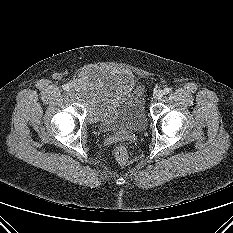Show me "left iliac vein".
Returning <instances> with one entry per match:
<instances>
[{
  "mask_svg": "<svg viewBox=\"0 0 233 233\" xmlns=\"http://www.w3.org/2000/svg\"><path fill=\"white\" fill-rule=\"evenodd\" d=\"M162 96H163V91H161V90L155 91V92H154V95H153L154 99H156V100L161 99Z\"/></svg>",
  "mask_w": 233,
  "mask_h": 233,
  "instance_id": "4c4485c4",
  "label": "left iliac vein"
}]
</instances>
